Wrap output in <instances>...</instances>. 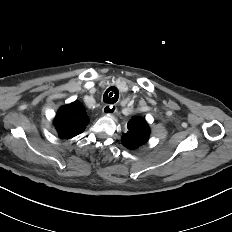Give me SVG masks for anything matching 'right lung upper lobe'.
<instances>
[{"label": "right lung upper lobe", "instance_id": "obj_1", "mask_svg": "<svg viewBox=\"0 0 232 232\" xmlns=\"http://www.w3.org/2000/svg\"><path fill=\"white\" fill-rule=\"evenodd\" d=\"M89 119L81 103L74 101L61 107L54 119V126L60 138L70 139L85 130Z\"/></svg>", "mask_w": 232, "mask_h": 232}]
</instances>
